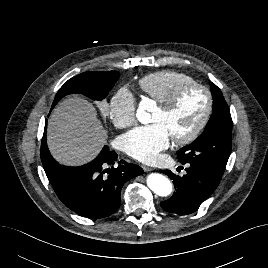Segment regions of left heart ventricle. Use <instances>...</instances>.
Here are the masks:
<instances>
[{
	"mask_svg": "<svg viewBox=\"0 0 268 268\" xmlns=\"http://www.w3.org/2000/svg\"><path fill=\"white\" fill-rule=\"evenodd\" d=\"M206 103V94L202 90L191 89L181 97L172 112L164 114L158 107L152 116V122L162 124L170 137L185 136L203 116Z\"/></svg>",
	"mask_w": 268,
	"mask_h": 268,
	"instance_id": "obj_1",
	"label": "left heart ventricle"
}]
</instances>
